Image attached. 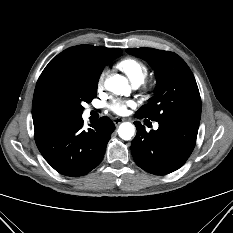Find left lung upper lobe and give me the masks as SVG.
Masks as SVG:
<instances>
[{
	"instance_id": "left-lung-upper-lobe-1",
	"label": "left lung upper lobe",
	"mask_w": 233,
	"mask_h": 233,
	"mask_svg": "<svg viewBox=\"0 0 233 233\" xmlns=\"http://www.w3.org/2000/svg\"><path fill=\"white\" fill-rule=\"evenodd\" d=\"M126 51L146 60L155 70V95L136 115L153 121L189 119L200 121L201 98L194 75L177 54L153 48H132Z\"/></svg>"
}]
</instances>
